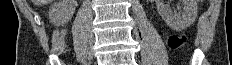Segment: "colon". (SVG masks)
Wrapping results in <instances>:
<instances>
[{
	"mask_svg": "<svg viewBox=\"0 0 232 65\" xmlns=\"http://www.w3.org/2000/svg\"><path fill=\"white\" fill-rule=\"evenodd\" d=\"M186 38L184 36H178V35H170L167 37V45L171 49H176L180 47L184 42Z\"/></svg>",
	"mask_w": 232,
	"mask_h": 65,
	"instance_id": "5ec220e1",
	"label": "colon"
}]
</instances>
